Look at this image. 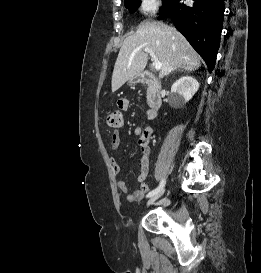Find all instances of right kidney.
I'll list each match as a JSON object with an SVG mask.
<instances>
[{
    "instance_id": "right-kidney-1",
    "label": "right kidney",
    "mask_w": 261,
    "mask_h": 273,
    "mask_svg": "<svg viewBox=\"0 0 261 273\" xmlns=\"http://www.w3.org/2000/svg\"><path fill=\"white\" fill-rule=\"evenodd\" d=\"M199 89V82L191 76H183L171 87V99L186 103Z\"/></svg>"
}]
</instances>
